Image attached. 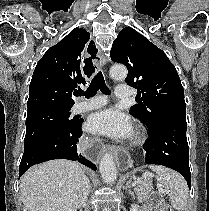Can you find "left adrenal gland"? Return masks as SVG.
Wrapping results in <instances>:
<instances>
[{
	"label": "left adrenal gland",
	"mask_w": 209,
	"mask_h": 211,
	"mask_svg": "<svg viewBox=\"0 0 209 211\" xmlns=\"http://www.w3.org/2000/svg\"><path fill=\"white\" fill-rule=\"evenodd\" d=\"M130 188H131V181L129 180V181L126 183L127 192H130ZM130 194H132V193L130 192Z\"/></svg>",
	"instance_id": "a2214340"
}]
</instances>
